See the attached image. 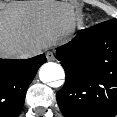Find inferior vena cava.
I'll list each match as a JSON object with an SVG mask.
<instances>
[{
  "mask_svg": "<svg viewBox=\"0 0 117 117\" xmlns=\"http://www.w3.org/2000/svg\"><path fill=\"white\" fill-rule=\"evenodd\" d=\"M40 51L38 49H35V48H29V49H26L25 51H23L21 54H20V58H28V57H32V56H35L37 54H39Z\"/></svg>",
  "mask_w": 117,
  "mask_h": 117,
  "instance_id": "obj_1",
  "label": "inferior vena cava"
}]
</instances>
